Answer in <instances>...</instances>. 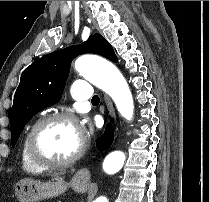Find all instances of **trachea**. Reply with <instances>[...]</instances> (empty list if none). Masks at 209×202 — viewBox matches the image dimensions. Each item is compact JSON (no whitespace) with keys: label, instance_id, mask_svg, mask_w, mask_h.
I'll return each instance as SVG.
<instances>
[{"label":"trachea","instance_id":"1","mask_svg":"<svg viewBox=\"0 0 209 202\" xmlns=\"http://www.w3.org/2000/svg\"><path fill=\"white\" fill-rule=\"evenodd\" d=\"M92 103H99L100 102V98L97 96V95H94L92 100H91Z\"/></svg>","mask_w":209,"mask_h":202}]
</instances>
